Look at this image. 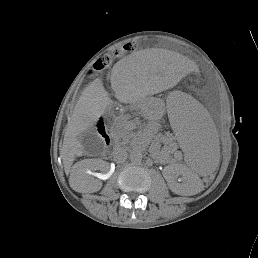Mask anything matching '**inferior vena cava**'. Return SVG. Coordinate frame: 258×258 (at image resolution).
<instances>
[{
  "label": "inferior vena cava",
  "mask_w": 258,
  "mask_h": 258,
  "mask_svg": "<svg viewBox=\"0 0 258 258\" xmlns=\"http://www.w3.org/2000/svg\"><path fill=\"white\" fill-rule=\"evenodd\" d=\"M127 152L123 149H120L118 150L117 152H115L114 154V160L117 162V163H123L126 161L127 159Z\"/></svg>",
  "instance_id": "inferior-vena-cava-1"
}]
</instances>
